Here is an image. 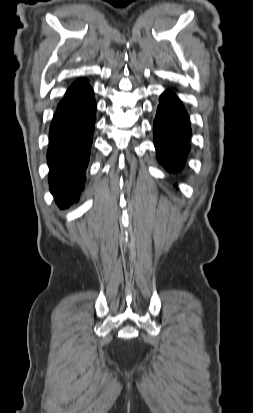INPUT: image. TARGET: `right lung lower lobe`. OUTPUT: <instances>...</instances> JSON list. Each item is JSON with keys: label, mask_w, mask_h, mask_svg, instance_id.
Here are the masks:
<instances>
[{"label": "right lung lower lobe", "mask_w": 253, "mask_h": 413, "mask_svg": "<svg viewBox=\"0 0 253 413\" xmlns=\"http://www.w3.org/2000/svg\"><path fill=\"white\" fill-rule=\"evenodd\" d=\"M96 121L93 89L86 86L64 97L50 126L47 152L50 190L61 209L78 200Z\"/></svg>", "instance_id": "right-lung-lower-lobe-1"}]
</instances>
